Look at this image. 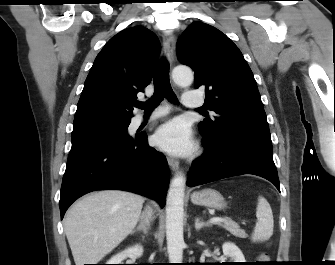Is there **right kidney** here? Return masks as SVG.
<instances>
[{
    "label": "right kidney",
    "instance_id": "obj_1",
    "mask_svg": "<svg viewBox=\"0 0 335 265\" xmlns=\"http://www.w3.org/2000/svg\"><path fill=\"white\" fill-rule=\"evenodd\" d=\"M142 254L143 247L140 244H136L113 256L107 264H121L127 257L138 258L141 257Z\"/></svg>",
    "mask_w": 335,
    "mask_h": 265
}]
</instances>
